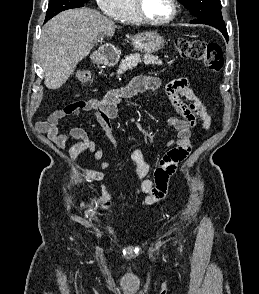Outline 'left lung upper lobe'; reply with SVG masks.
<instances>
[{"mask_svg":"<svg viewBox=\"0 0 259 294\" xmlns=\"http://www.w3.org/2000/svg\"><path fill=\"white\" fill-rule=\"evenodd\" d=\"M197 19L193 23L207 24L213 27H225L221 13L220 0H178Z\"/></svg>","mask_w":259,"mask_h":294,"instance_id":"5c2ea615","label":"left lung upper lobe"}]
</instances>
